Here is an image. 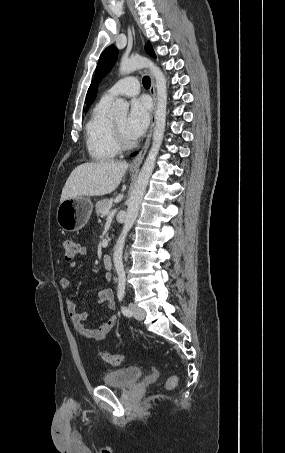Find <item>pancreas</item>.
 Instances as JSON below:
<instances>
[{
  "mask_svg": "<svg viewBox=\"0 0 285 453\" xmlns=\"http://www.w3.org/2000/svg\"><path fill=\"white\" fill-rule=\"evenodd\" d=\"M110 206H111V201L108 198L98 201L95 205V210H96L97 216L101 215L102 211L104 209H109Z\"/></svg>",
  "mask_w": 285,
  "mask_h": 453,
  "instance_id": "1",
  "label": "pancreas"
}]
</instances>
